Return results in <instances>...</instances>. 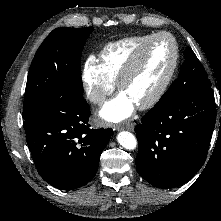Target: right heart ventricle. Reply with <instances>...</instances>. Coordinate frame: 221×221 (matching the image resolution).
I'll list each match as a JSON object with an SVG mask.
<instances>
[{"label": "right heart ventricle", "instance_id": "right-heart-ventricle-1", "mask_svg": "<svg viewBox=\"0 0 221 221\" xmlns=\"http://www.w3.org/2000/svg\"><path fill=\"white\" fill-rule=\"evenodd\" d=\"M152 35L126 37L108 43L99 54L100 66L107 77L115 83L136 50Z\"/></svg>", "mask_w": 221, "mask_h": 221}]
</instances>
